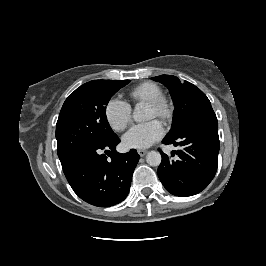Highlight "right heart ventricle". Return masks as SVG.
Instances as JSON below:
<instances>
[{"label": "right heart ventricle", "instance_id": "right-heart-ventricle-1", "mask_svg": "<svg viewBox=\"0 0 266 266\" xmlns=\"http://www.w3.org/2000/svg\"><path fill=\"white\" fill-rule=\"evenodd\" d=\"M163 96L161 87L152 82L141 83L130 91V97L136 102L148 103Z\"/></svg>", "mask_w": 266, "mask_h": 266}]
</instances>
